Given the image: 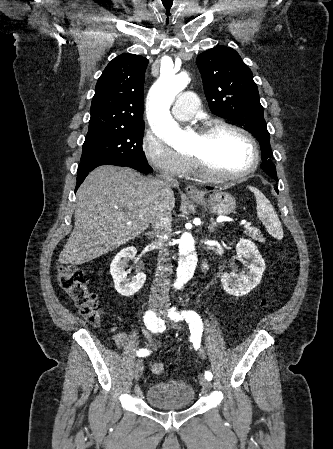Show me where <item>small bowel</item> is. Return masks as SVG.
<instances>
[{
	"instance_id": "obj_1",
	"label": "small bowel",
	"mask_w": 333,
	"mask_h": 449,
	"mask_svg": "<svg viewBox=\"0 0 333 449\" xmlns=\"http://www.w3.org/2000/svg\"><path fill=\"white\" fill-rule=\"evenodd\" d=\"M114 343H115V345L118 347V348H124V347H126L127 345H128V338H127V336H126V334L125 333H122V332H120V333H117L115 336H114ZM156 343H158V340H150L149 341V345L150 346H153V345H155Z\"/></svg>"
}]
</instances>
